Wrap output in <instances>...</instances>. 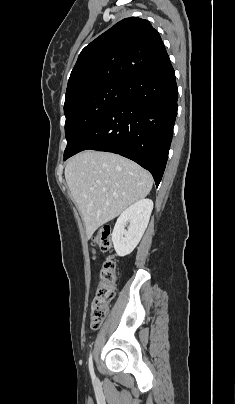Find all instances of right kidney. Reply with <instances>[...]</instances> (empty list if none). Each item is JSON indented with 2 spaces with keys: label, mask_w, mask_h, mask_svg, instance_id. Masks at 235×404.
I'll use <instances>...</instances> for the list:
<instances>
[{
  "label": "right kidney",
  "mask_w": 235,
  "mask_h": 404,
  "mask_svg": "<svg viewBox=\"0 0 235 404\" xmlns=\"http://www.w3.org/2000/svg\"><path fill=\"white\" fill-rule=\"evenodd\" d=\"M152 209V200L142 199L121 213L112 233L114 249L119 256L130 254L138 245L147 228ZM127 223L129 225L126 230Z\"/></svg>",
  "instance_id": "ca27d5eb"
}]
</instances>
